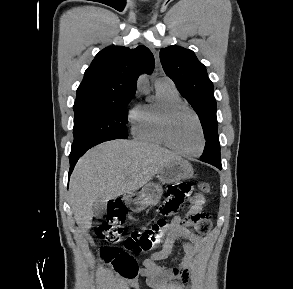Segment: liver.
<instances>
[{
	"instance_id": "obj_1",
	"label": "liver",
	"mask_w": 293,
	"mask_h": 289,
	"mask_svg": "<svg viewBox=\"0 0 293 289\" xmlns=\"http://www.w3.org/2000/svg\"><path fill=\"white\" fill-rule=\"evenodd\" d=\"M157 145L113 140L87 151L70 179V204L76 223L91 227L92 207L98 199H115L145 186L167 163L180 160Z\"/></svg>"
}]
</instances>
